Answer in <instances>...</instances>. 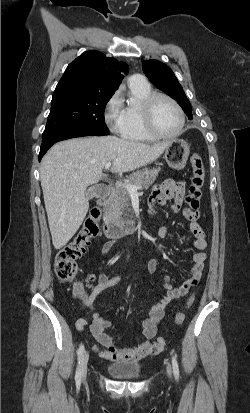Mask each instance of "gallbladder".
<instances>
[{"mask_svg": "<svg viewBox=\"0 0 250 413\" xmlns=\"http://www.w3.org/2000/svg\"><path fill=\"white\" fill-rule=\"evenodd\" d=\"M99 192V188H93L91 190L88 191L87 196L88 198H93L96 196V194Z\"/></svg>", "mask_w": 250, "mask_h": 413, "instance_id": "obj_1", "label": "gallbladder"}]
</instances>
